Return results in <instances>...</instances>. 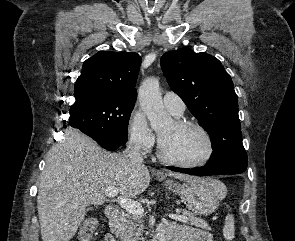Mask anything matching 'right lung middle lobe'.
<instances>
[{
	"label": "right lung middle lobe",
	"instance_id": "1",
	"mask_svg": "<svg viewBox=\"0 0 295 241\" xmlns=\"http://www.w3.org/2000/svg\"><path fill=\"white\" fill-rule=\"evenodd\" d=\"M135 100L93 95L70 107L68 126L79 129L97 143L119 146L127 142L128 121Z\"/></svg>",
	"mask_w": 295,
	"mask_h": 241
}]
</instances>
